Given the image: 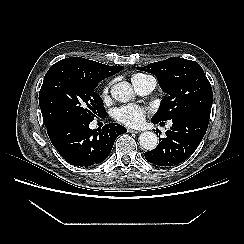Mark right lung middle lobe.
<instances>
[{
    "label": "right lung middle lobe",
    "mask_w": 244,
    "mask_h": 244,
    "mask_svg": "<svg viewBox=\"0 0 244 244\" xmlns=\"http://www.w3.org/2000/svg\"><path fill=\"white\" fill-rule=\"evenodd\" d=\"M96 86L97 83L49 69L39 92L45 126L68 120L91 122L96 116L106 117L103 101L94 92Z\"/></svg>",
    "instance_id": "obj_1"
}]
</instances>
